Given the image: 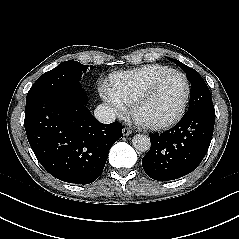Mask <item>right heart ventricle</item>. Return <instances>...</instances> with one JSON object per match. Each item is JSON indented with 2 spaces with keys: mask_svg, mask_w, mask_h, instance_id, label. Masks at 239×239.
Returning <instances> with one entry per match:
<instances>
[{
  "mask_svg": "<svg viewBox=\"0 0 239 239\" xmlns=\"http://www.w3.org/2000/svg\"><path fill=\"white\" fill-rule=\"evenodd\" d=\"M170 70L169 67L159 64L145 65L134 70L112 75L110 78V84L117 96L126 105H131L138 94L157 76Z\"/></svg>",
  "mask_w": 239,
  "mask_h": 239,
  "instance_id": "obj_1",
  "label": "right heart ventricle"
}]
</instances>
